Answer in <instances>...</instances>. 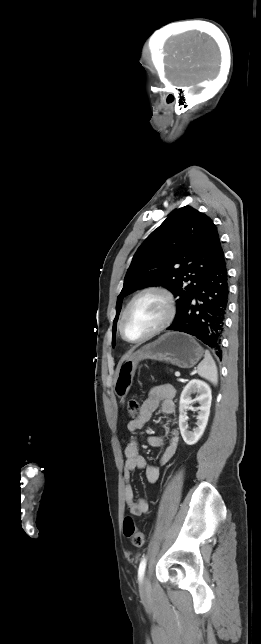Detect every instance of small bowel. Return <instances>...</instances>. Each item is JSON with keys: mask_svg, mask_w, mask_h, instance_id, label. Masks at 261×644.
Listing matches in <instances>:
<instances>
[{"mask_svg": "<svg viewBox=\"0 0 261 644\" xmlns=\"http://www.w3.org/2000/svg\"><path fill=\"white\" fill-rule=\"evenodd\" d=\"M175 388L170 384H162L153 387L148 392L146 399L141 405L140 413L137 418L128 422V431L136 434L150 420L152 414L160 408L166 416H171L175 412ZM148 444L152 447H161L165 444L163 436L149 435ZM179 436L176 429L170 431L166 442L165 449L160 457V463L166 464L175 455L178 447ZM125 464L123 477L126 481L124 489V501L129 513L134 516L146 514L149 511V504L145 499H135L133 487L130 483L131 474L136 469H145L148 482L155 483L159 478V470L155 466H150L139 453L138 442L132 438L124 450Z\"/></svg>", "mask_w": 261, "mask_h": 644, "instance_id": "obj_1", "label": "small bowel"}]
</instances>
